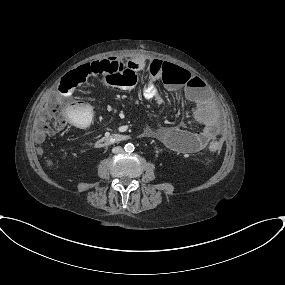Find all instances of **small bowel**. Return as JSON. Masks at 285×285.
I'll return each instance as SVG.
<instances>
[{
	"instance_id": "c3829d8e",
	"label": "small bowel",
	"mask_w": 285,
	"mask_h": 285,
	"mask_svg": "<svg viewBox=\"0 0 285 285\" xmlns=\"http://www.w3.org/2000/svg\"><path fill=\"white\" fill-rule=\"evenodd\" d=\"M130 67L140 69L147 67L149 77L143 88V95L147 100L161 102V96L156 92L153 82L164 70V62L159 59L129 60ZM167 86L170 91H182L191 103L192 118L198 123L197 131H189L179 127H164L151 132L154 138L159 140L164 146L179 151L181 153H195L208 146L209 143L220 140V132L216 129L212 121L206 114L205 103L200 97V85L197 76L188 72L183 78H167ZM66 111L70 123L79 126L81 120L90 119L89 106L81 100H72L67 103Z\"/></svg>"
}]
</instances>
